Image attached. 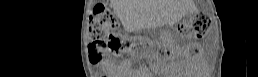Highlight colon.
<instances>
[{
    "mask_svg": "<svg viewBox=\"0 0 258 77\" xmlns=\"http://www.w3.org/2000/svg\"><path fill=\"white\" fill-rule=\"evenodd\" d=\"M210 23V15L202 12L196 14L189 23L183 24L181 30L186 35L204 38L209 32ZM117 26L118 23L109 9L104 6L93 9L89 23V51L92 63L100 61L105 50L118 52L128 46L127 42L119 39L114 33Z\"/></svg>",
    "mask_w": 258,
    "mask_h": 77,
    "instance_id": "colon-1",
    "label": "colon"
}]
</instances>
